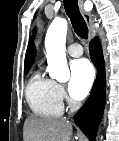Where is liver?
Returning a JSON list of instances; mask_svg holds the SVG:
<instances>
[{"label":"liver","instance_id":"obj_1","mask_svg":"<svg viewBox=\"0 0 119 141\" xmlns=\"http://www.w3.org/2000/svg\"><path fill=\"white\" fill-rule=\"evenodd\" d=\"M72 125L65 119L28 117L24 122L25 141H69Z\"/></svg>","mask_w":119,"mask_h":141}]
</instances>
